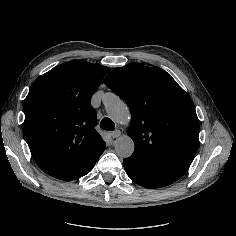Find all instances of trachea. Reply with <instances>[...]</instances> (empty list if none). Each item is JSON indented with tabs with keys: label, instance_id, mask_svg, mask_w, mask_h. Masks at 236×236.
Masks as SVG:
<instances>
[{
	"label": "trachea",
	"instance_id": "obj_1",
	"mask_svg": "<svg viewBox=\"0 0 236 236\" xmlns=\"http://www.w3.org/2000/svg\"><path fill=\"white\" fill-rule=\"evenodd\" d=\"M100 127L107 131H113L115 129V124L110 118H103L100 122Z\"/></svg>",
	"mask_w": 236,
	"mask_h": 236
}]
</instances>
